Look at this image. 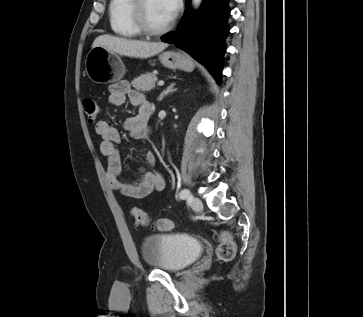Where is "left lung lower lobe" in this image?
Listing matches in <instances>:
<instances>
[{"instance_id": "obj_1", "label": "left lung lower lobe", "mask_w": 363, "mask_h": 317, "mask_svg": "<svg viewBox=\"0 0 363 317\" xmlns=\"http://www.w3.org/2000/svg\"><path fill=\"white\" fill-rule=\"evenodd\" d=\"M228 0H204L196 15L186 11L176 31L161 38L174 43L203 64L220 83L224 42L228 34Z\"/></svg>"}]
</instances>
